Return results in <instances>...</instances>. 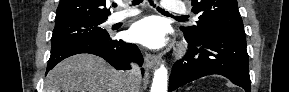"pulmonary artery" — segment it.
<instances>
[{"mask_svg": "<svg viewBox=\"0 0 289 92\" xmlns=\"http://www.w3.org/2000/svg\"><path fill=\"white\" fill-rule=\"evenodd\" d=\"M162 7L165 11L170 12V13L182 14L186 12V9L182 4L174 2V1H163ZM138 13H139L138 9H129L126 11L117 12L110 17V22L117 23L126 18L135 16Z\"/></svg>", "mask_w": 289, "mask_h": 92, "instance_id": "e3ab8cb5", "label": "pulmonary artery"}]
</instances>
